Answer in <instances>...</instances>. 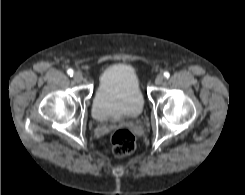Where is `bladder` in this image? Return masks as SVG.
Returning a JSON list of instances; mask_svg holds the SVG:
<instances>
[{"instance_id":"1","label":"bladder","mask_w":245,"mask_h":195,"mask_svg":"<svg viewBox=\"0 0 245 195\" xmlns=\"http://www.w3.org/2000/svg\"><path fill=\"white\" fill-rule=\"evenodd\" d=\"M144 97L134 68L117 63L101 74L92 102V116L97 121H120L139 116Z\"/></svg>"}]
</instances>
